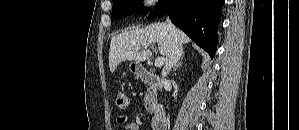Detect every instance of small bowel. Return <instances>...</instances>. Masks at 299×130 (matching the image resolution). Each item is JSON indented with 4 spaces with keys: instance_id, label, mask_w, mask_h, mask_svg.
Instances as JSON below:
<instances>
[{
    "instance_id": "small-bowel-1",
    "label": "small bowel",
    "mask_w": 299,
    "mask_h": 130,
    "mask_svg": "<svg viewBox=\"0 0 299 130\" xmlns=\"http://www.w3.org/2000/svg\"><path fill=\"white\" fill-rule=\"evenodd\" d=\"M124 121H125L124 117H120L118 119V122L121 124L124 123ZM125 129L126 130H139V125L136 122H130L125 125Z\"/></svg>"
}]
</instances>
